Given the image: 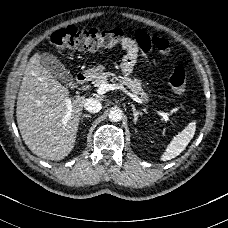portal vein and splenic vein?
Returning <instances> with one entry per match:
<instances>
[{
	"instance_id": "1",
	"label": "portal vein and splenic vein",
	"mask_w": 228,
	"mask_h": 228,
	"mask_svg": "<svg viewBox=\"0 0 228 228\" xmlns=\"http://www.w3.org/2000/svg\"><path fill=\"white\" fill-rule=\"evenodd\" d=\"M115 89H122L125 93H127L130 97H132L134 101L138 103H142V100L140 98L133 95L132 93H129L122 84L117 85V84L102 83L99 85L97 89V93L99 95H102L108 91L115 90ZM178 110H183V105H176V107H173V110L169 111V116L176 115V112H178ZM71 111L72 109L68 108L66 117H69L71 115ZM156 114H158V116H161L162 120L164 121L163 133H168V129L170 127V120L168 119V114L164 113V111H161V109H156Z\"/></svg>"
}]
</instances>
